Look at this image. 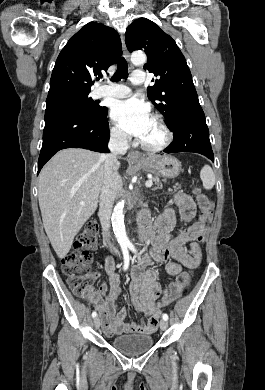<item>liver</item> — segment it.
<instances>
[{"mask_svg": "<svg viewBox=\"0 0 265 390\" xmlns=\"http://www.w3.org/2000/svg\"><path fill=\"white\" fill-rule=\"evenodd\" d=\"M119 168L117 161L114 171L118 173ZM103 179L102 154L81 148L59 151L41 170L38 200L43 226L60 259L96 211Z\"/></svg>", "mask_w": 265, "mask_h": 390, "instance_id": "6515ba94", "label": "liver"}]
</instances>
